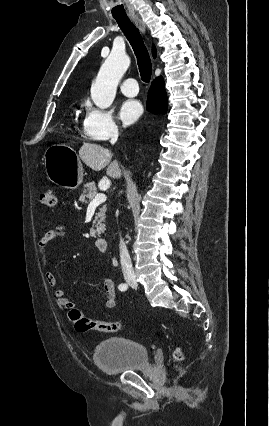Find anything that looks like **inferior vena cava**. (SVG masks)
<instances>
[{
  "mask_svg": "<svg viewBox=\"0 0 269 426\" xmlns=\"http://www.w3.org/2000/svg\"><path fill=\"white\" fill-rule=\"evenodd\" d=\"M117 139H118V132L113 131L111 134V139H110L111 144H115ZM119 248H120L121 265H122V270L124 275H127V276L134 275L131 258L123 239H120Z\"/></svg>",
  "mask_w": 269,
  "mask_h": 426,
  "instance_id": "obj_1",
  "label": "inferior vena cava"
}]
</instances>
